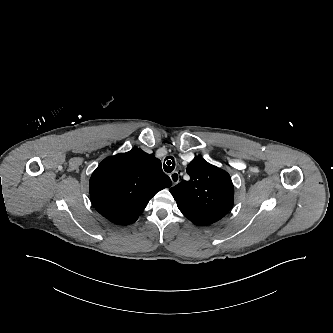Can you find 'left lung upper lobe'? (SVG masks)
<instances>
[{"instance_id": "left-lung-upper-lobe-1", "label": "left lung upper lobe", "mask_w": 333, "mask_h": 333, "mask_svg": "<svg viewBox=\"0 0 333 333\" xmlns=\"http://www.w3.org/2000/svg\"><path fill=\"white\" fill-rule=\"evenodd\" d=\"M189 181H182L170 189L177 206L197 210L230 211L234 186L230 175L211 165L202 157H195L186 168Z\"/></svg>"}]
</instances>
